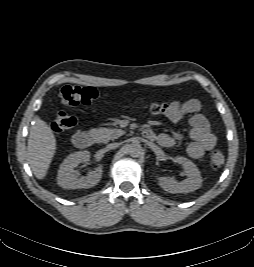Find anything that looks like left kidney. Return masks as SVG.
I'll use <instances>...</instances> for the list:
<instances>
[{
	"label": "left kidney",
	"mask_w": 254,
	"mask_h": 267,
	"mask_svg": "<svg viewBox=\"0 0 254 267\" xmlns=\"http://www.w3.org/2000/svg\"><path fill=\"white\" fill-rule=\"evenodd\" d=\"M174 162L181 164L187 178L178 182L170 177H158L159 185L170 193H189L199 189L202 185V177L197 166L189 159L177 156Z\"/></svg>",
	"instance_id": "obj_1"
}]
</instances>
